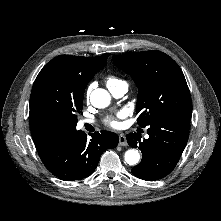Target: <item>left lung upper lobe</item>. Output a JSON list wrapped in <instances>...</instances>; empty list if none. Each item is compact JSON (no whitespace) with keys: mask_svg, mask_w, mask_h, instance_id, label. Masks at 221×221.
Segmentation results:
<instances>
[{"mask_svg":"<svg viewBox=\"0 0 221 221\" xmlns=\"http://www.w3.org/2000/svg\"><path fill=\"white\" fill-rule=\"evenodd\" d=\"M112 60L136 82L140 126L164 118L191 120L190 92L182 70L170 56L151 50L114 55Z\"/></svg>","mask_w":221,"mask_h":221,"instance_id":"1","label":"left lung upper lobe"}]
</instances>
